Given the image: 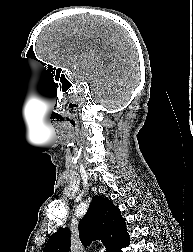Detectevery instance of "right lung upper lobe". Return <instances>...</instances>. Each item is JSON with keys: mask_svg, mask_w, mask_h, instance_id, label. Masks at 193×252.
<instances>
[{"mask_svg": "<svg viewBox=\"0 0 193 252\" xmlns=\"http://www.w3.org/2000/svg\"><path fill=\"white\" fill-rule=\"evenodd\" d=\"M79 237L84 246L101 240L107 252H114L128 237L119 209L102 196H93L85 216L79 223ZM70 232L59 229L47 241L43 252H69Z\"/></svg>", "mask_w": 193, "mask_h": 252, "instance_id": "right-lung-upper-lobe-1", "label": "right lung upper lobe"}]
</instances>
